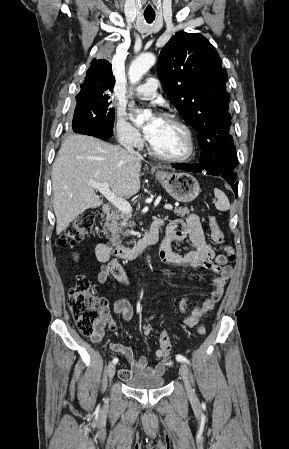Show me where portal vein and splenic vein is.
Here are the masks:
<instances>
[{
    "mask_svg": "<svg viewBox=\"0 0 289 449\" xmlns=\"http://www.w3.org/2000/svg\"><path fill=\"white\" fill-rule=\"evenodd\" d=\"M91 185L121 212L126 214H130L132 212V207L129 202L114 194L110 190V186L108 183L92 182ZM164 208L171 210L173 206L171 204H166Z\"/></svg>",
    "mask_w": 289,
    "mask_h": 449,
    "instance_id": "obj_1",
    "label": "portal vein and splenic vein"
}]
</instances>
